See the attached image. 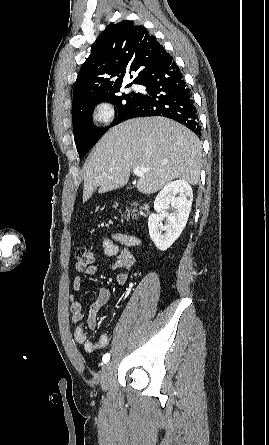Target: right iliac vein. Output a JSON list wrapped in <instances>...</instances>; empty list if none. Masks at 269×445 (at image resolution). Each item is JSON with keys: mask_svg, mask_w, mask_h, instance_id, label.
I'll return each instance as SVG.
<instances>
[{"mask_svg": "<svg viewBox=\"0 0 269 445\" xmlns=\"http://www.w3.org/2000/svg\"><path fill=\"white\" fill-rule=\"evenodd\" d=\"M112 363H107L103 370H102V375H101V388L102 390L106 391L108 389L110 380H111V376H112Z\"/></svg>", "mask_w": 269, "mask_h": 445, "instance_id": "obj_1", "label": "right iliac vein"}]
</instances>
